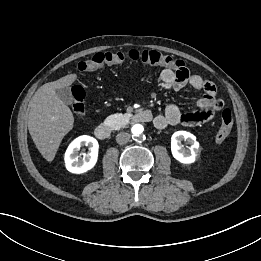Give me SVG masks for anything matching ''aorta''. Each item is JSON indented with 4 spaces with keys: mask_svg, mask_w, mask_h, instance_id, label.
Returning <instances> with one entry per match:
<instances>
[{
    "mask_svg": "<svg viewBox=\"0 0 261 261\" xmlns=\"http://www.w3.org/2000/svg\"><path fill=\"white\" fill-rule=\"evenodd\" d=\"M144 132V127L141 124H135L131 128V133L134 138L142 139Z\"/></svg>",
    "mask_w": 261,
    "mask_h": 261,
    "instance_id": "762f6f07",
    "label": "aorta"
}]
</instances>
